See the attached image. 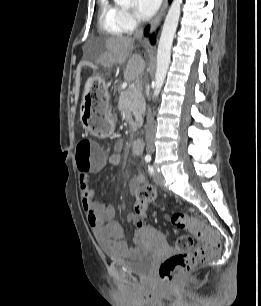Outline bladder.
<instances>
[{
	"instance_id": "bladder-1",
	"label": "bladder",
	"mask_w": 261,
	"mask_h": 306,
	"mask_svg": "<svg viewBox=\"0 0 261 306\" xmlns=\"http://www.w3.org/2000/svg\"><path fill=\"white\" fill-rule=\"evenodd\" d=\"M148 231L158 240H162L163 236L154 229ZM158 250L156 246H149L138 241L134 246L129 248L128 252L123 256L105 253L106 259L122 265L130 272L138 274H146L150 271L153 264L158 258Z\"/></svg>"
}]
</instances>
